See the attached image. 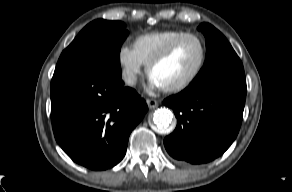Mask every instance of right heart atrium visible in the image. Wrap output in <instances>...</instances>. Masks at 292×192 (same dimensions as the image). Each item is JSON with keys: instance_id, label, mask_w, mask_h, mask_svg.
Masks as SVG:
<instances>
[{"instance_id": "d8ad5b80", "label": "right heart atrium", "mask_w": 292, "mask_h": 192, "mask_svg": "<svg viewBox=\"0 0 292 192\" xmlns=\"http://www.w3.org/2000/svg\"><path fill=\"white\" fill-rule=\"evenodd\" d=\"M117 61L124 82L129 86H134L144 65L134 47L127 44L121 45L117 52Z\"/></svg>"}]
</instances>
